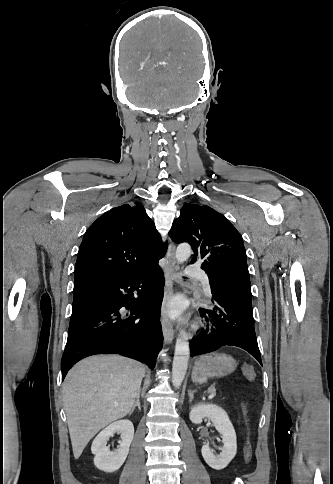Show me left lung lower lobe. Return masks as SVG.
<instances>
[{
  "instance_id": "obj_1",
  "label": "left lung lower lobe",
  "mask_w": 333,
  "mask_h": 484,
  "mask_svg": "<svg viewBox=\"0 0 333 484\" xmlns=\"http://www.w3.org/2000/svg\"><path fill=\"white\" fill-rule=\"evenodd\" d=\"M203 270L210 278L216 306L211 310L199 309L206 326L197 338L191 340V356L232 345L248 351L262 365L246 259L240 252H225L214 257Z\"/></svg>"
}]
</instances>
